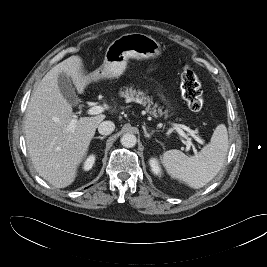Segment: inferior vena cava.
<instances>
[{"label": "inferior vena cava", "mask_w": 267, "mask_h": 267, "mask_svg": "<svg viewBox=\"0 0 267 267\" xmlns=\"http://www.w3.org/2000/svg\"><path fill=\"white\" fill-rule=\"evenodd\" d=\"M115 129V124L112 121H103L98 126V132L102 135H109Z\"/></svg>", "instance_id": "602c4592"}]
</instances>
